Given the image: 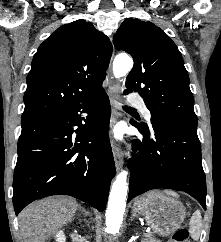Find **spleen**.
Here are the masks:
<instances>
[{
	"instance_id": "spleen-1",
	"label": "spleen",
	"mask_w": 221,
	"mask_h": 242,
	"mask_svg": "<svg viewBox=\"0 0 221 242\" xmlns=\"http://www.w3.org/2000/svg\"><path fill=\"white\" fill-rule=\"evenodd\" d=\"M167 195L173 197H179V195L172 190H165ZM201 232V215L200 212L196 211L190 221V234L192 239L198 240Z\"/></svg>"
}]
</instances>
